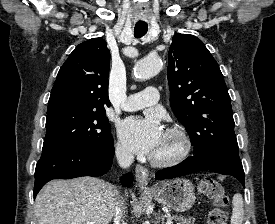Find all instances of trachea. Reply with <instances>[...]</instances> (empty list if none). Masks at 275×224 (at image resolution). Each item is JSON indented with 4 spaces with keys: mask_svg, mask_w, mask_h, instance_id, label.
Listing matches in <instances>:
<instances>
[{
    "mask_svg": "<svg viewBox=\"0 0 275 224\" xmlns=\"http://www.w3.org/2000/svg\"><path fill=\"white\" fill-rule=\"evenodd\" d=\"M147 31H148L147 25H135L134 36L136 38H141L147 33Z\"/></svg>",
    "mask_w": 275,
    "mask_h": 224,
    "instance_id": "trachea-1",
    "label": "trachea"
}]
</instances>
